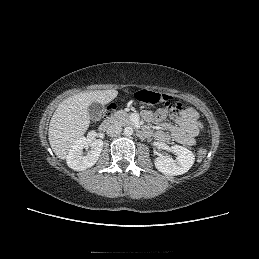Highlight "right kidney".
Segmentation results:
<instances>
[{
	"label": "right kidney",
	"instance_id": "right-kidney-1",
	"mask_svg": "<svg viewBox=\"0 0 259 259\" xmlns=\"http://www.w3.org/2000/svg\"><path fill=\"white\" fill-rule=\"evenodd\" d=\"M84 148H90L87 155H83ZM102 148V140L92 141L85 137H80L73 143L67 153V165L75 171L90 168L98 161Z\"/></svg>",
	"mask_w": 259,
	"mask_h": 259
}]
</instances>
